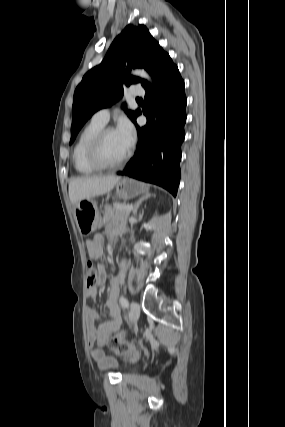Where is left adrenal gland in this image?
Wrapping results in <instances>:
<instances>
[{"instance_id": "left-adrenal-gland-1", "label": "left adrenal gland", "mask_w": 285, "mask_h": 427, "mask_svg": "<svg viewBox=\"0 0 285 427\" xmlns=\"http://www.w3.org/2000/svg\"><path fill=\"white\" fill-rule=\"evenodd\" d=\"M151 196H154V195L146 194L145 196H143L142 198H140V199L135 203V206H134V209H133V214H134V215L137 213V210L139 209V207H140V205L142 204V202H143L144 200H147V199H148V198H150Z\"/></svg>"}]
</instances>
